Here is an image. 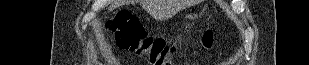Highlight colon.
Instances as JSON below:
<instances>
[{"mask_svg": "<svg viewBox=\"0 0 309 65\" xmlns=\"http://www.w3.org/2000/svg\"><path fill=\"white\" fill-rule=\"evenodd\" d=\"M108 30L114 33L117 46L142 54L149 53L151 65H168V59L174 52V48L162 38L148 36L138 18L128 11H119L115 17L106 24ZM214 41V33L207 30L201 37L204 48H210Z\"/></svg>", "mask_w": 309, "mask_h": 65, "instance_id": "colon-1", "label": "colon"}]
</instances>
